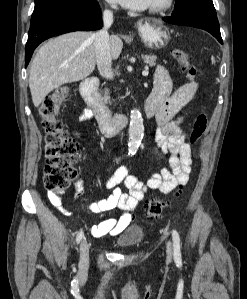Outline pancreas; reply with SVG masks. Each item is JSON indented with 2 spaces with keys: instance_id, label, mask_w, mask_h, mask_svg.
I'll return each mask as SVG.
<instances>
[{
  "instance_id": "obj_1",
  "label": "pancreas",
  "mask_w": 247,
  "mask_h": 299,
  "mask_svg": "<svg viewBox=\"0 0 247 299\" xmlns=\"http://www.w3.org/2000/svg\"><path fill=\"white\" fill-rule=\"evenodd\" d=\"M156 59L157 56L156 55H145L143 57L144 63L149 65L150 67L155 66L156 65ZM103 95L106 99H110V92L108 89H105L103 91Z\"/></svg>"
}]
</instances>
